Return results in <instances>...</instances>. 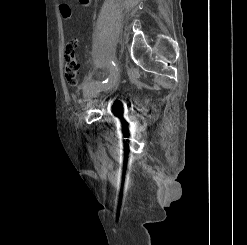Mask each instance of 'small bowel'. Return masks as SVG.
I'll use <instances>...</instances> for the list:
<instances>
[{
    "label": "small bowel",
    "mask_w": 247,
    "mask_h": 245,
    "mask_svg": "<svg viewBox=\"0 0 247 245\" xmlns=\"http://www.w3.org/2000/svg\"><path fill=\"white\" fill-rule=\"evenodd\" d=\"M79 2L84 6H88L91 3V0H79ZM60 11H61L62 16L65 19L71 18L72 11H71V8L68 4L60 5Z\"/></svg>",
    "instance_id": "small-bowel-1"
}]
</instances>
